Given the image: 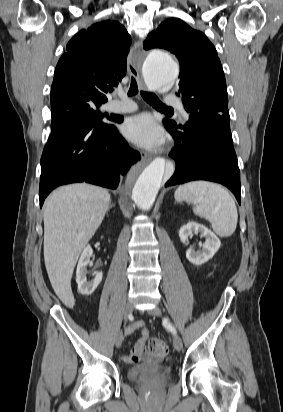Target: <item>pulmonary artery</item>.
<instances>
[{"mask_svg":"<svg viewBox=\"0 0 283 412\" xmlns=\"http://www.w3.org/2000/svg\"><path fill=\"white\" fill-rule=\"evenodd\" d=\"M119 97H120V100L110 107L111 111L129 113V112H134L137 109L136 104L130 99L122 95H120ZM178 103H179V99L174 96H167L164 99V104L167 106H176L178 105ZM183 116L186 119L189 118V114L185 111H183Z\"/></svg>","mask_w":283,"mask_h":412,"instance_id":"1","label":"pulmonary artery"}]
</instances>
